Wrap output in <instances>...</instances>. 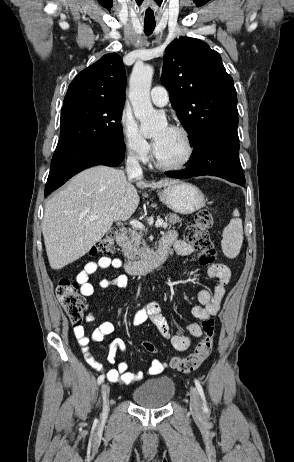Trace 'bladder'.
<instances>
[{
	"instance_id": "31cf9c89",
	"label": "bladder",
	"mask_w": 294,
	"mask_h": 462,
	"mask_svg": "<svg viewBox=\"0 0 294 462\" xmlns=\"http://www.w3.org/2000/svg\"><path fill=\"white\" fill-rule=\"evenodd\" d=\"M176 386L169 376H160L146 380L132 392L135 404L145 408H160L165 406L175 396Z\"/></svg>"
}]
</instances>
